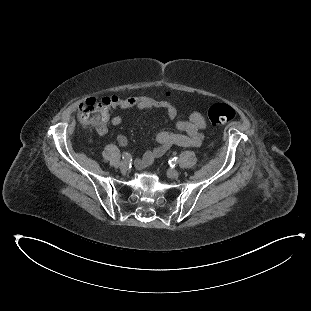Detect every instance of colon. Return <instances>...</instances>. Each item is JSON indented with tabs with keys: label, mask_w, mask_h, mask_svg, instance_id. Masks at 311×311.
I'll use <instances>...</instances> for the list:
<instances>
[{
	"label": "colon",
	"mask_w": 311,
	"mask_h": 311,
	"mask_svg": "<svg viewBox=\"0 0 311 311\" xmlns=\"http://www.w3.org/2000/svg\"><path fill=\"white\" fill-rule=\"evenodd\" d=\"M113 101L108 98L87 99L79 105L78 118L83 125L104 127L109 117ZM208 116L212 124L220 125L236 118L235 109L224 103H216L209 108Z\"/></svg>",
	"instance_id": "1"
}]
</instances>
